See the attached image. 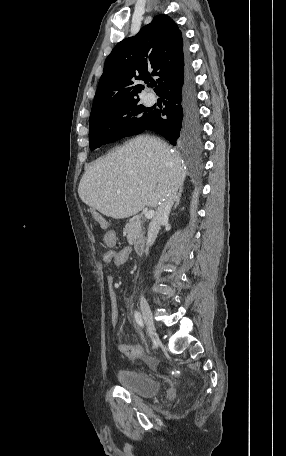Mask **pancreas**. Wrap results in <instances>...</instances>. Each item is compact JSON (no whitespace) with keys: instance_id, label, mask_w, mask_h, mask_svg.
<instances>
[{"instance_id":"pancreas-1","label":"pancreas","mask_w":286,"mask_h":456,"mask_svg":"<svg viewBox=\"0 0 286 456\" xmlns=\"http://www.w3.org/2000/svg\"><path fill=\"white\" fill-rule=\"evenodd\" d=\"M124 231L127 233V241L130 245L138 244L143 239L142 222L139 218L130 221L125 225Z\"/></svg>"}]
</instances>
